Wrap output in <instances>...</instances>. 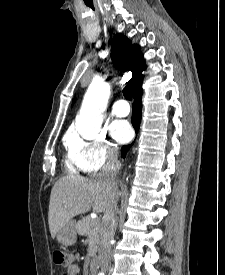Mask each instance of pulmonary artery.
Returning <instances> with one entry per match:
<instances>
[{
    "label": "pulmonary artery",
    "instance_id": "e3ab8cb5",
    "mask_svg": "<svg viewBox=\"0 0 225 275\" xmlns=\"http://www.w3.org/2000/svg\"><path fill=\"white\" fill-rule=\"evenodd\" d=\"M129 112L130 108L124 100L116 101L112 107V113L117 117H125Z\"/></svg>",
    "mask_w": 225,
    "mask_h": 275
}]
</instances>
